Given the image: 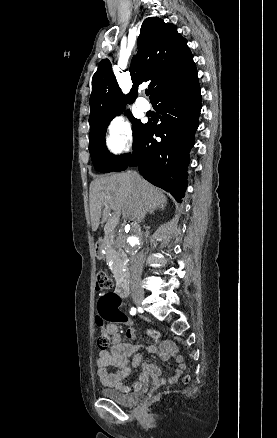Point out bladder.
Returning <instances> with one entry per match:
<instances>
[{"instance_id":"obj_1","label":"bladder","mask_w":277,"mask_h":438,"mask_svg":"<svg viewBox=\"0 0 277 438\" xmlns=\"http://www.w3.org/2000/svg\"><path fill=\"white\" fill-rule=\"evenodd\" d=\"M101 396L107 401H112L118 405H134L140 401V397L136 395L135 392L124 393L119 388L107 387L102 388L99 392Z\"/></svg>"}]
</instances>
